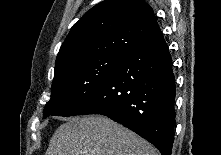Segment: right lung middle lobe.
Wrapping results in <instances>:
<instances>
[{
    "label": "right lung middle lobe",
    "mask_w": 221,
    "mask_h": 155,
    "mask_svg": "<svg viewBox=\"0 0 221 155\" xmlns=\"http://www.w3.org/2000/svg\"><path fill=\"white\" fill-rule=\"evenodd\" d=\"M124 56L125 54L105 53L79 59L56 72L51 99L44 108V118L49 115H78Z\"/></svg>",
    "instance_id": "right-lung-middle-lobe-1"
}]
</instances>
